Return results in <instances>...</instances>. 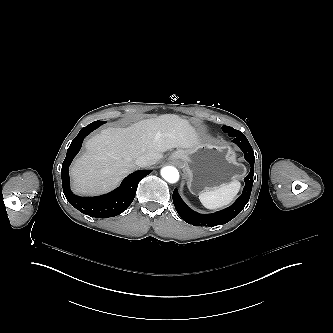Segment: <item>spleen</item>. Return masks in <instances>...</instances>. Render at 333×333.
<instances>
[{
	"mask_svg": "<svg viewBox=\"0 0 333 333\" xmlns=\"http://www.w3.org/2000/svg\"><path fill=\"white\" fill-rule=\"evenodd\" d=\"M241 189V182L238 180L222 184L214 190L203 191L199 194L202 205L210 210L222 208L231 204Z\"/></svg>",
	"mask_w": 333,
	"mask_h": 333,
	"instance_id": "1",
	"label": "spleen"
}]
</instances>
